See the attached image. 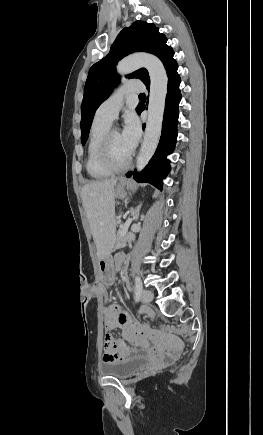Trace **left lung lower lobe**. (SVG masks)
<instances>
[{
	"label": "left lung lower lobe",
	"mask_w": 263,
	"mask_h": 435,
	"mask_svg": "<svg viewBox=\"0 0 263 435\" xmlns=\"http://www.w3.org/2000/svg\"><path fill=\"white\" fill-rule=\"evenodd\" d=\"M178 65L173 60L166 68L168 75V92L166 96L165 111L163 117V126L161 138L157 150L148 165L142 172H128L127 177L134 176L138 182H147L162 190L163 179L170 171L169 160L167 155L172 153L177 139V123H178V105L181 100L179 90L180 77L177 73ZM150 85H147V89ZM145 109L140 106L139 114ZM145 126V125H144Z\"/></svg>",
	"instance_id": "0a47b994"
}]
</instances>
